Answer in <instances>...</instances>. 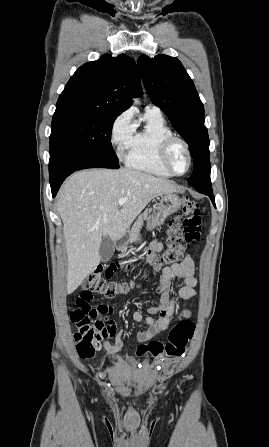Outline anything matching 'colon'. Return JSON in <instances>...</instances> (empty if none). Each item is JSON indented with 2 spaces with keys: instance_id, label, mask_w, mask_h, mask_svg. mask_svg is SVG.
<instances>
[{
  "instance_id": "obj_1",
  "label": "colon",
  "mask_w": 269,
  "mask_h": 447,
  "mask_svg": "<svg viewBox=\"0 0 269 447\" xmlns=\"http://www.w3.org/2000/svg\"><path fill=\"white\" fill-rule=\"evenodd\" d=\"M201 208L195 201L183 203V215L173 217L167 227L164 244L166 248L159 255L150 258L155 269L172 266L182 259L186 244H192L201 238ZM121 265L127 264L126 258L120 259ZM106 267H117L115 262H108ZM85 295L80 296L76 307L71 310V318L76 325L74 339L79 355L83 358H91L100 350L103 339H113L118 325L115 322H103L108 320L106 316L112 310L107 305L96 302L94 294L112 297L123 293L126 285L107 279L100 273H91L83 282ZM94 319V320H91ZM195 325L191 320L177 322L168 334L166 342H152L148 345H140L136 349L139 357L147 354L155 357L180 356L185 352L187 342L192 338Z\"/></svg>"
}]
</instances>
